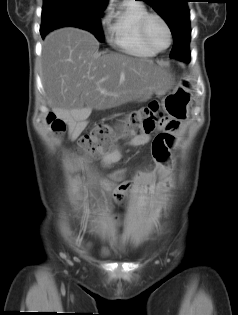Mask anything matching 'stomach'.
<instances>
[{"label":"stomach","instance_id":"0dacf381","mask_svg":"<svg viewBox=\"0 0 238 315\" xmlns=\"http://www.w3.org/2000/svg\"><path fill=\"white\" fill-rule=\"evenodd\" d=\"M195 97L193 87L187 85H180L176 87L175 91L166 94L165 102H163V109H167V116H171L175 122H187L190 115L191 99Z\"/></svg>","mask_w":238,"mask_h":315}]
</instances>
